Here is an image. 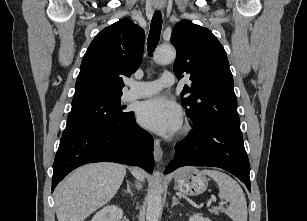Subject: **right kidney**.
<instances>
[{"label": "right kidney", "mask_w": 307, "mask_h": 221, "mask_svg": "<svg viewBox=\"0 0 307 221\" xmlns=\"http://www.w3.org/2000/svg\"><path fill=\"white\" fill-rule=\"evenodd\" d=\"M122 218V209L116 205H110L98 211L91 221H120Z\"/></svg>", "instance_id": "ca27d5eb"}]
</instances>
